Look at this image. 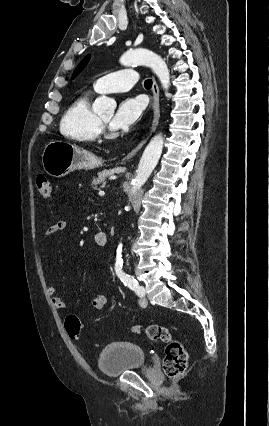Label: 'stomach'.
I'll return each mask as SVG.
<instances>
[{
  "mask_svg": "<svg viewBox=\"0 0 269 426\" xmlns=\"http://www.w3.org/2000/svg\"><path fill=\"white\" fill-rule=\"evenodd\" d=\"M44 171L52 177H64L78 169H94L102 166V161L94 154L74 144L52 140L42 154Z\"/></svg>",
  "mask_w": 269,
  "mask_h": 426,
  "instance_id": "obj_1",
  "label": "stomach"
}]
</instances>
